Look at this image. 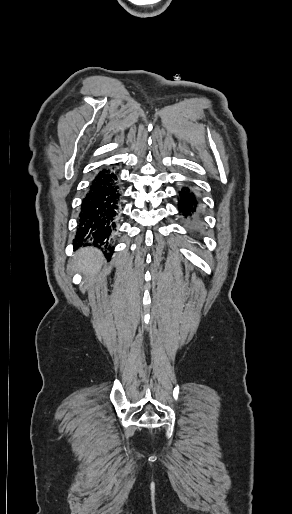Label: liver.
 <instances>
[{
    "label": "liver",
    "mask_w": 292,
    "mask_h": 514,
    "mask_svg": "<svg viewBox=\"0 0 292 514\" xmlns=\"http://www.w3.org/2000/svg\"><path fill=\"white\" fill-rule=\"evenodd\" d=\"M103 254L98 248H81L73 256V264L69 266L73 272H81L85 282L97 276L102 264Z\"/></svg>",
    "instance_id": "obj_1"
}]
</instances>
